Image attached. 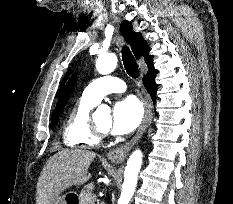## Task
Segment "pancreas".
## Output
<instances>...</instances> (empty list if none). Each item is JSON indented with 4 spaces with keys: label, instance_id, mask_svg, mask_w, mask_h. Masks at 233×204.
I'll return each mask as SVG.
<instances>
[{
    "label": "pancreas",
    "instance_id": "obj_1",
    "mask_svg": "<svg viewBox=\"0 0 233 204\" xmlns=\"http://www.w3.org/2000/svg\"><path fill=\"white\" fill-rule=\"evenodd\" d=\"M93 185H85L79 194V204H95L96 196L91 193Z\"/></svg>",
    "mask_w": 233,
    "mask_h": 204
}]
</instances>
